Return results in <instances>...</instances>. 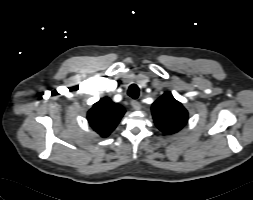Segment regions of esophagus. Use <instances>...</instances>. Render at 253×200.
<instances>
[{
	"instance_id": "34e87169",
	"label": "esophagus",
	"mask_w": 253,
	"mask_h": 200,
	"mask_svg": "<svg viewBox=\"0 0 253 200\" xmlns=\"http://www.w3.org/2000/svg\"><path fill=\"white\" fill-rule=\"evenodd\" d=\"M131 106L133 107V109L135 110H140L141 109V105L138 101L136 100H132L131 101Z\"/></svg>"
}]
</instances>
